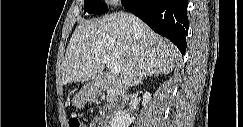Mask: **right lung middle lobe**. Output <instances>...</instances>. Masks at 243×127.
I'll return each mask as SVG.
<instances>
[{
	"label": "right lung middle lobe",
	"mask_w": 243,
	"mask_h": 127,
	"mask_svg": "<svg viewBox=\"0 0 243 127\" xmlns=\"http://www.w3.org/2000/svg\"><path fill=\"white\" fill-rule=\"evenodd\" d=\"M107 10V6L101 0H84L85 13L102 14Z\"/></svg>",
	"instance_id": "1"
}]
</instances>
